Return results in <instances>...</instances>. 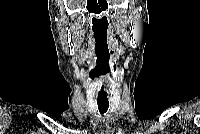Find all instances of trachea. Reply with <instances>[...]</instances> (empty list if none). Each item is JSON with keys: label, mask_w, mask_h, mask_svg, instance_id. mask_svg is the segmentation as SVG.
<instances>
[{"label": "trachea", "mask_w": 200, "mask_h": 134, "mask_svg": "<svg viewBox=\"0 0 200 134\" xmlns=\"http://www.w3.org/2000/svg\"><path fill=\"white\" fill-rule=\"evenodd\" d=\"M97 104H98L99 112L101 114H104L105 112H107L108 107H109L108 101H98Z\"/></svg>", "instance_id": "obj_1"}]
</instances>
